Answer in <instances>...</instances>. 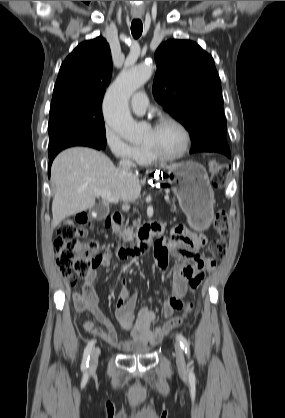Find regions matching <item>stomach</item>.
<instances>
[{
    "instance_id": "0dacf381",
    "label": "stomach",
    "mask_w": 285,
    "mask_h": 418,
    "mask_svg": "<svg viewBox=\"0 0 285 418\" xmlns=\"http://www.w3.org/2000/svg\"><path fill=\"white\" fill-rule=\"evenodd\" d=\"M173 187L179 205L195 230L209 227L213 217L214 193L204 166L186 161L170 166L163 172Z\"/></svg>"
}]
</instances>
